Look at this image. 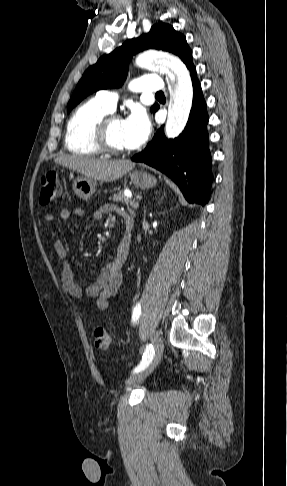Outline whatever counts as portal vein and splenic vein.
<instances>
[{
    "instance_id": "portal-vein-and-splenic-vein-1",
    "label": "portal vein and splenic vein",
    "mask_w": 287,
    "mask_h": 486,
    "mask_svg": "<svg viewBox=\"0 0 287 486\" xmlns=\"http://www.w3.org/2000/svg\"><path fill=\"white\" fill-rule=\"evenodd\" d=\"M130 205H131L133 208H138V206H139L138 202H137L135 199H131V200H130Z\"/></svg>"
}]
</instances>
